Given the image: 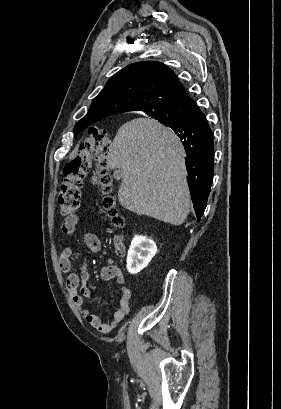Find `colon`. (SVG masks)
Wrapping results in <instances>:
<instances>
[{"label":"colon","instance_id":"1","mask_svg":"<svg viewBox=\"0 0 281 409\" xmlns=\"http://www.w3.org/2000/svg\"><path fill=\"white\" fill-rule=\"evenodd\" d=\"M111 148L110 133L105 129L92 128L78 153L64 165L63 181L57 197L60 213L66 221L64 228L72 224L73 217L80 205L82 179L91 160H94L96 165L93 182L99 187L103 195L111 190L112 177L107 169V155ZM102 208L108 211L116 225H123L124 220L117 215V207L113 197L103 196Z\"/></svg>","mask_w":281,"mask_h":409}]
</instances>
